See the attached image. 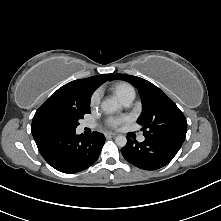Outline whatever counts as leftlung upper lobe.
I'll use <instances>...</instances> for the list:
<instances>
[{"label": "left lung upper lobe", "mask_w": 221, "mask_h": 221, "mask_svg": "<svg viewBox=\"0 0 221 221\" xmlns=\"http://www.w3.org/2000/svg\"><path fill=\"white\" fill-rule=\"evenodd\" d=\"M112 79L126 80L138 89L142 113L137 123L142 125L145 137L184 142L187 132L186 118L162 90L143 78L127 74L118 73Z\"/></svg>", "instance_id": "1"}]
</instances>
